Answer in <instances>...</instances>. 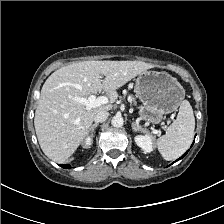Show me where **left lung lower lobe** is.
Segmentation results:
<instances>
[{"instance_id": "0a47b994", "label": "left lung lower lobe", "mask_w": 224, "mask_h": 224, "mask_svg": "<svg viewBox=\"0 0 224 224\" xmlns=\"http://www.w3.org/2000/svg\"><path fill=\"white\" fill-rule=\"evenodd\" d=\"M187 152H188V151H187ZM187 152H186L181 158H183V157L187 154ZM181 158H179V159H181ZM179 159H178V160H179Z\"/></svg>"}]
</instances>
